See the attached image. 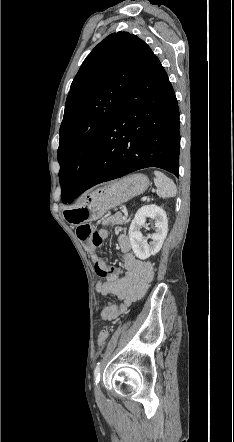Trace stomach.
I'll return each instance as SVG.
<instances>
[{"mask_svg":"<svg viewBox=\"0 0 234 442\" xmlns=\"http://www.w3.org/2000/svg\"><path fill=\"white\" fill-rule=\"evenodd\" d=\"M148 186V177L137 173L99 187L86 194L78 205L65 210V220L75 226L95 221L111 208L144 193Z\"/></svg>","mask_w":234,"mask_h":442,"instance_id":"stomach-1","label":"stomach"}]
</instances>
